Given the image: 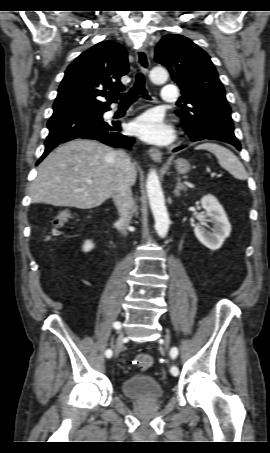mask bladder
Segmentation results:
<instances>
[{
    "label": "bladder",
    "instance_id": "obj_1",
    "mask_svg": "<svg viewBox=\"0 0 270 453\" xmlns=\"http://www.w3.org/2000/svg\"><path fill=\"white\" fill-rule=\"evenodd\" d=\"M123 394L135 400H158L163 397L162 385L148 374H134L127 377L121 385Z\"/></svg>",
    "mask_w": 270,
    "mask_h": 453
}]
</instances>
